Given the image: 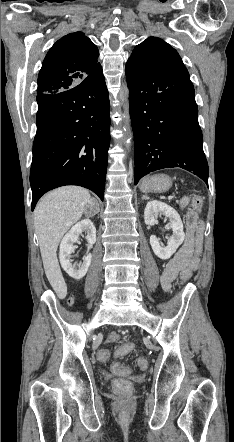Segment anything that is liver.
<instances>
[{"instance_id":"1","label":"liver","mask_w":234,"mask_h":442,"mask_svg":"<svg viewBox=\"0 0 234 442\" xmlns=\"http://www.w3.org/2000/svg\"><path fill=\"white\" fill-rule=\"evenodd\" d=\"M90 200L86 189L65 186L43 196L34 211L45 274L60 299L66 297L67 285L57 259V248L67 230L82 217L85 206L91 204Z\"/></svg>"}]
</instances>
